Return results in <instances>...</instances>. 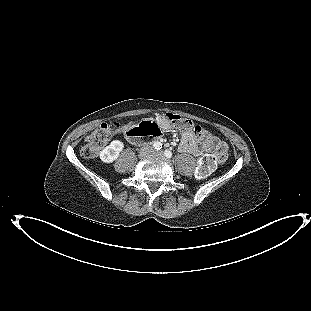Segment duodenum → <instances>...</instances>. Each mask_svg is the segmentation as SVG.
Listing matches in <instances>:
<instances>
[{"label":"duodenum","instance_id":"1","mask_svg":"<svg viewBox=\"0 0 311 311\" xmlns=\"http://www.w3.org/2000/svg\"><path fill=\"white\" fill-rule=\"evenodd\" d=\"M128 140L132 143H139L140 142V136L136 134H128Z\"/></svg>","mask_w":311,"mask_h":311}]
</instances>
